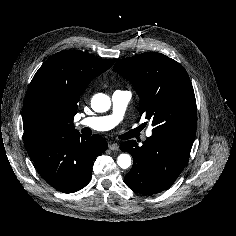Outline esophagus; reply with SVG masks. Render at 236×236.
<instances>
[{
    "label": "esophagus",
    "mask_w": 236,
    "mask_h": 236,
    "mask_svg": "<svg viewBox=\"0 0 236 236\" xmlns=\"http://www.w3.org/2000/svg\"><path fill=\"white\" fill-rule=\"evenodd\" d=\"M109 149L112 150V151H117L119 150V145L117 143H110L109 144Z\"/></svg>",
    "instance_id": "1"
}]
</instances>
